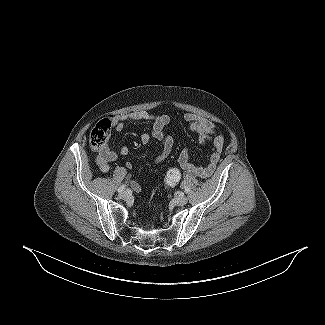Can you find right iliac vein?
<instances>
[{
    "mask_svg": "<svg viewBox=\"0 0 325 325\" xmlns=\"http://www.w3.org/2000/svg\"><path fill=\"white\" fill-rule=\"evenodd\" d=\"M120 198L123 199V200H127V199H129V198H130V194H129V192H127V191L122 192V193L120 194Z\"/></svg>",
    "mask_w": 325,
    "mask_h": 325,
    "instance_id": "1",
    "label": "right iliac vein"
}]
</instances>
